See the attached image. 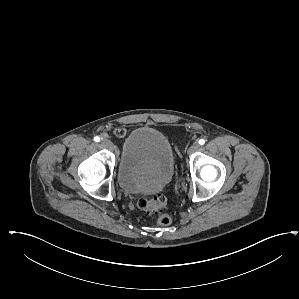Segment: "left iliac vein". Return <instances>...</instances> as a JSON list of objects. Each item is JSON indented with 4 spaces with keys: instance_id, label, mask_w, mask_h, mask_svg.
I'll use <instances>...</instances> for the list:
<instances>
[{
    "instance_id": "1",
    "label": "left iliac vein",
    "mask_w": 299,
    "mask_h": 299,
    "mask_svg": "<svg viewBox=\"0 0 299 299\" xmlns=\"http://www.w3.org/2000/svg\"><path fill=\"white\" fill-rule=\"evenodd\" d=\"M199 147L200 145L197 142L193 143L188 149V154H193L199 149Z\"/></svg>"
}]
</instances>
